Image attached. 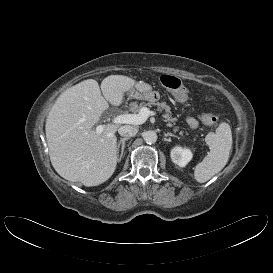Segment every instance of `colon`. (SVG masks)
Instances as JSON below:
<instances>
[{
	"mask_svg": "<svg viewBox=\"0 0 273 273\" xmlns=\"http://www.w3.org/2000/svg\"><path fill=\"white\" fill-rule=\"evenodd\" d=\"M161 82L163 86L170 90L179 101H186V90L177 77L172 75H163L161 77ZM201 120L207 125H215L218 122V117L213 114L206 113L202 115Z\"/></svg>",
	"mask_w": 273,
	"mask_h": 273,
	"instance_id": "colon-1",
	"label": "colon"
}]
</instances>
